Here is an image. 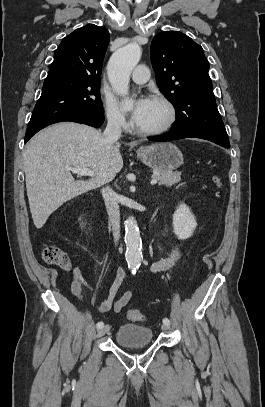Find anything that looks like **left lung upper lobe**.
I'll list each match as a JSON object with an SVG mask.
<instances>
[{
	"label": "left lung upper lobe",
	"mask_w": 265,
	"mask_h": 407,
	"mask_svg": "<svg viewBox=\"0 0 265 407\" xmlns=\"http://www.w3.org/2000/svg\"><path fill=\"white\" fill-rule=\"evenodd\" d=\"M151 62L161 92L176 111L170 132H195L229 142L202 47L181 32L163 31L152 40Z\"/></svg>",
	"instance_id": "obj_1"
}]
</instances>
